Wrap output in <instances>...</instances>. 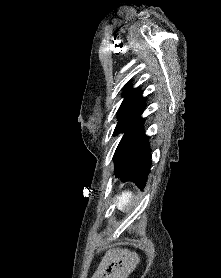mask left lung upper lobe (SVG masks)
Returning a JSON list of instances; mask_svg holds the SVG:
<instances>
[{
    "label": "left lung upper lobe",
    "instance_id": "obj_1",
    "mask_svg": "<svg viewBox=\"0 0 221 278\" xmlns=\"http://www.w3.org/2000/svg\"><path fill=\"white\" fill-rule=\"evenodd\" d=\"M123 96L125 98L118 110V123L113 134L124 132V138L139 119L146 103L145 99L142 98L141 90L138 88L132 89V84L130 82L125 87Z\"/></svg>",
    "mask_w": 221,
    "mask_h": 278
}]
</instances>
